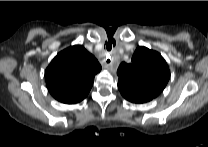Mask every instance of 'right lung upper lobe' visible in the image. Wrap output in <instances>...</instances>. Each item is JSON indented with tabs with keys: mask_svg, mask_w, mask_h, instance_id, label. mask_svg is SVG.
<instances>
[{
	"mask_svg": "<svg viewBox=\"0 0 208 147\" xmlns=\"http://www.w3.org/2000/svg\"><path fill=\"white\" fill-rule=\"evenodd\" d=\"M100 70L101 65L92 54L83 46L74 45L51 61L45 71L46 85L55 99L74 104L87 96Z\"/></svg>",
	"mask_w": 208,
	"mask_h": 147,
	"instance_id": "obj_1",
	"label": "right lung upper lobe"
}]
</instances>
